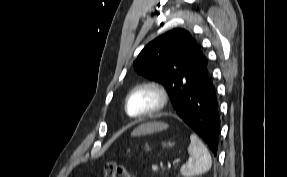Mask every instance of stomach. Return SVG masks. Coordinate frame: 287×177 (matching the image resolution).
I'll use <instances>...</instances> for the list:
<instances>
[{
	"mask_svg": "<svg viewBox=\"0 0 287 177\" xmlns=\"http://www.w3.org/2000/svg\"><path fill=\"white\" fill-rule=\"evenodd\" d=\"M162 146L163 147H172L173 144L171 142H168V143H162ZM151 148L148 144L145 145V150L149 151Z\"/></svg>",
	"mask_w": 287,
	"mask_h": 177,
	"instance_id": "obj_1",
	"label": "stomach"
}]
</instances>
